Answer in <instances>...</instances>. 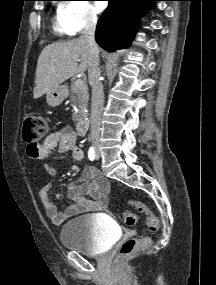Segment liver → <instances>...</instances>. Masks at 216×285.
<instances>
[{
    "label": "liver",
    "mask_w": 216,
    "mask_h": 285,
    "mask_svg": "<svg viewBox=\"0 0 216 285\" xmlns=\"http://www.w3.org/2000/svg\"><path fill=\"white\" fill-rule=\"evenodd\" d=\"M89 62L87 43L80 38L47 45L38 58L33 98L38 99L75 74L84 73Z\"/></svg>",
    "instance_id": "liver-1"
}]
</instances>
